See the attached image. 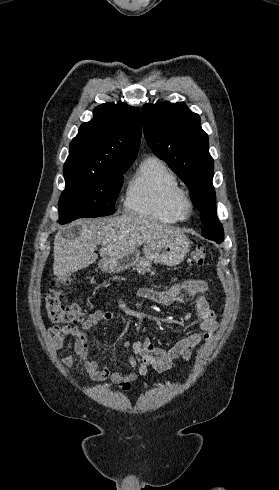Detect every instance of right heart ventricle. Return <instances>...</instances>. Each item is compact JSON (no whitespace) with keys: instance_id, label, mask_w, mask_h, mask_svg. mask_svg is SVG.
<instances>
[{"instance_id":"e07e8e85","label":"right heart ventricle","mask_w":279,"mask_h":490,"mask_svg":"<svg viewBox=\"0 0 279 490\" xmlns=\"http://www.w3.org/2000/svg\"><path fill=\"white\" fill-rule=\"evenodd\" d=\"M183 189L174 171L160 158L150 156L138 165L127 190L128 211L159 224H177L183 219L174 209L177 192Z\"/></svg>"}]
</instances>
